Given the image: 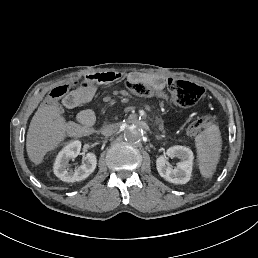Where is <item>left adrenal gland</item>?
<instances>
[{
    "label": "left adrenal gland",
    "instance_id": "a2214340",
    "mask_svg": "<svg viewBox=\"0 0 258 258\" xmlns=\"http://www.w3.org/2000/svg\"><path fill=\"white\" fill-rule=\"evenodd\" d=\"M156 139L160 140V139H161V137L157 135V136H156Z\"/></svg>",
    "mask_w": 258,
    "mask_h": 258
}]
</instances>
